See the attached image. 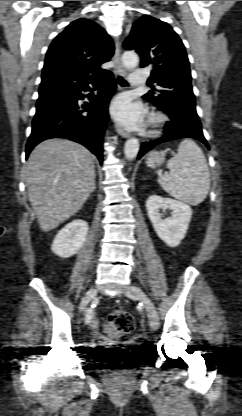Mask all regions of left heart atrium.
I'll return each instance as SVG.
<instances>
[{"mask_svg": "<svg viewBox=\"0 0 242 416\" xmlns=\"http://www.w3.org/2000/svg\"><path fill=\"white\" fill-rule=\"evenodd\" d=\"M113 116L125 127L140 128L145 117V109L140 103H134L127 95L115 99L111 106Z\"/></svg>", "mask_w": 242, "mask_h": 416, "instance_id": "1", "label": "left heart atrium"}]
</instances>
